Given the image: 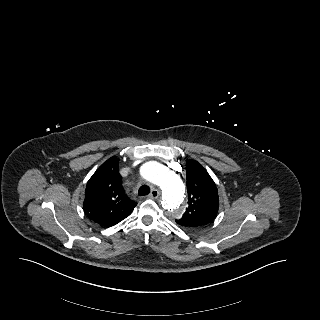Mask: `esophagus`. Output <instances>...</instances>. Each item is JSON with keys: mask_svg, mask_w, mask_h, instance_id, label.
I'll return each instance as SVG.
<instances>
[{"mask_svg": "<svg viewBox=\"0 0 320 320\" xmlns=\"http://www.w3.org/2000/svg\"><path fill=\"white\" fill-rule=\"evenodd\" d=\"M159 195L160 192L157 189H152L148 197L151 199H156Z\"/></svg>", "mask_w": 320, "mask_h": 320, "instance_id": "esophagus-1", "label": "esophagus"}]
</instances>
